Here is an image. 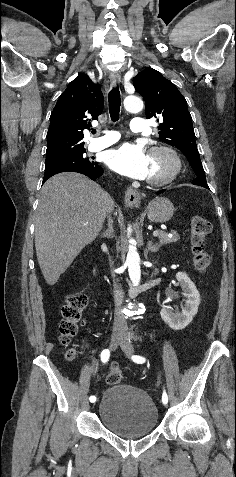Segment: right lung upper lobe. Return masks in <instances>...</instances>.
I'll use <instances>...</instances> for the list:
<instances>
[{
    "label": "right lung upper lobe",
    "mask_w": 236,
    "mask_h": 477,
    "mask_svg": "<svg viewBox=\"0 0 236 477\" xmlns=\"http://www.w3.org/2000/svg\"><path fill=\"white\" fill-rule=\"evenodd\" d=\"M104 97L98 84L80 74L58 99L50 116L45 163L84 150L83 130L102 113Z\"/></svg>",
    "instance_id": "obj_1"
}]
</instances>
